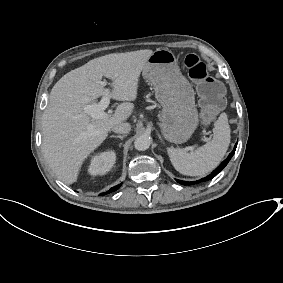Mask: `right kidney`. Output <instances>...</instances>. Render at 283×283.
I'll return each mask as SVG.
<instances>
[{
    "label": "right kidney",
    "instance_id": "ca27d5eb",
    "mask_svg": "<svg viewBox=\"0 0 283 283\" xmlns=\"http://www.w3.org/2000/svg\"><path fill=\"white\" fill-rule=\"evenodd\" d=\"M116 162L114 151L99 153L92 157L88 173L92 176L104 175L113 167Z\"/></svg>",
    "mask_w": 283,
    "mask_h": 283
}]
</instances>
